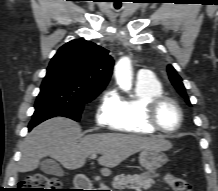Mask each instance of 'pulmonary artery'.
Masks as SVG:
<instances>
[{
  "label": "pulmonary artery",
  "mask_w": 218,
  "mask_h": 191,
  "mask_svg": "<svg viewBox=\"0 0 218 191\" xmlns=\"http://www.w3.org/2000/svg\"><path fill=\"white\" fill-rule=\"evenodd\" d=\"M138 80L141 81H151L154 79V74L151 70L148 69H142L138 72Z\"/></svg>",
  "instance_id": "obj_1"
}]
</instances>
